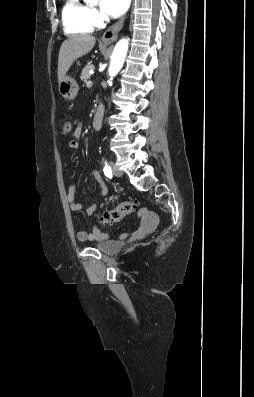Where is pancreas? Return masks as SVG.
<instances>
[{
    "mask_svg": "<svg viewBox=\"0 0 254 397\" xmlns=\"http://www.w3.org/2000/svg\"><path fill=\"white\" fill-rule=\"evenodd\" d=\"M93 68H94V65H92V64H88V65H86V66L83 68L82 73H81V76H80V79H81L84 83H87V81L90 79L91 74L89 73V71H90L91 69H93Z\"/></svg>",
    "mask_w": 254,
    "mask_h": 397,
    "instance_id": "obj_1",
    "label": "pancreas"
}]
</instances>
